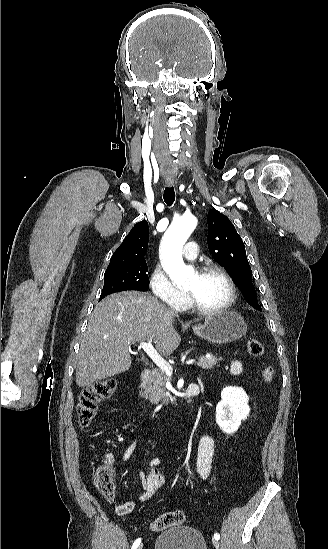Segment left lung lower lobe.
Wrapping results in <instances>:
<instances>
[{
  "label": "left lung lower lobe",
  "instance_id": "left-lung-lower-lobe-1",
  "mask_svg": "<svg viewBox=\"0 0 328 549\" xmlns=\"http://www.w3.org/2000/svg\"><path fill=\"white\" fill-rule=\"evenodd\" d=\"M254 308L261 311V307L259 305Z\"/></svg>",
  "mask_w": 328,
  "mask_h": 549
}]
</instances>
